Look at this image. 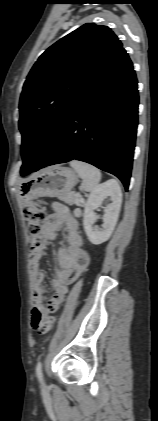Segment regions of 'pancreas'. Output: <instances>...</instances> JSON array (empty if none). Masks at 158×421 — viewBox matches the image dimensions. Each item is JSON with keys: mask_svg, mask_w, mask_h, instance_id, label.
<instances>
[{"mask_svg": "<svg viewBox=\"0 0 158 421\" xmlns=\"http://www.w3.org/2000/svg\"><path fill=\"white\" fill-rule=\"evenodd\" d=\"M62 200L65 201L67 204H76L78 206H82L85 201L83 198L77 197L74 193H68L62 197Z\"/></svg>", "mask_w": 158, "mask_h": 421, "instance_id": "cf45deb5", "label": "pancreas"}]
</instances>
